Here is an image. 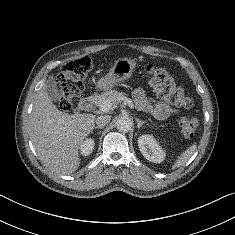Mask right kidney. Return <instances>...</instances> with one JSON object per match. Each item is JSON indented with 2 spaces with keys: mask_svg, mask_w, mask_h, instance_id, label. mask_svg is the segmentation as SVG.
<instances>
[{
  "mask_svg": "<svg viewBox=\"0 0 235 235\" xmlns=\"http://www.w3.org/2000/svg\"><path fill=\"white\" fill-rule=\"evenodd\" d=\"M95 142L93 139L89 138L86 139L81 145H80V151L81 154L84 156H89L93 149H94Z\"/></svg>",
  "mask_w": 235,
  "mask_h": 235,
  "instance_id": "obj_1",
  "label": "right kidney"
}]
</instances>
